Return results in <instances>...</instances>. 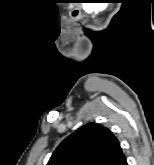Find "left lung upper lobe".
Here are the masks:
<instances>
[{"label":"left lung upper lobe","mask_w":154,"mask_h":165,"mask_svg":"<svg viewBox=\"0 0 154 165\" xmlns=\"http://www.w3.org/2000/svg\"><path fill=\"white\" fill-rule=\"evenodd\" d=\"M123 156L109 129L88 123L57 147L47 165H117Z\"/></svg>","instance_id":"5c2ea615"}]
</instances>
